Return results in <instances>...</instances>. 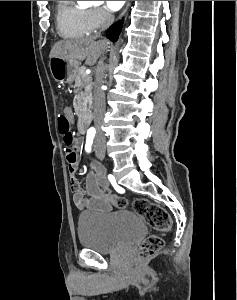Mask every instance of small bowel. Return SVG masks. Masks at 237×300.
<instances>
[{
	"label": "small bowel",
	"mask_w": 237,
	"mask_h": 300,
	"mask_svg": "<svg viewBox=\"0 0 237 300\" xmlns=\"http://www.w3.org/2000/svg\"><path fill=\"white\" fill-rule=\"evenodd\" d=\"M63 114L69 122L72 120V112L69 108H65ZM66 162L68 170L71 174L70 186L73 193V202L79 210H92L99 212H108L112 209V203L103 194V189L109 186V180L104 169L93 164L91 171L86 177V187L82 189L75 174L79 171L80 158L78 153V145L73 149L66 151Z\"/></svg>",
	"instance_id": "obj_1"
}]
</instances>
